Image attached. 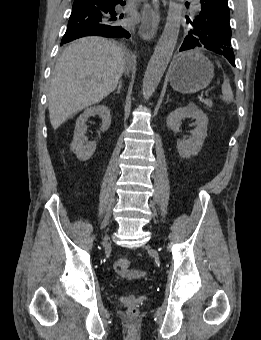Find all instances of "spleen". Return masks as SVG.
Returning <instances> with one entry per match:
<instances>
[{
	"label": "spleen",
	"instance_id": "obj_1",
	"mask_svg": "<svg viewBox=\"0 0 261 340\" xmlns=\"http://www.w3.org/2000/svg\"><path fill=\"white\" fill-rule=\"evenodd\" d=\"M222 94H223V100L225 102H232L233 101V92L230 86V83L228 79L224 78V82L222 84Z\"/></svg>",
	"mask_w": 261,
	"mask_h": 340
}]
</instances>
